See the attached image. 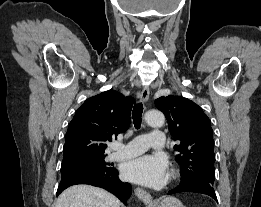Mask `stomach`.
Here are the masks:
<instances>
[{
  "label": "stomach",
  "mask_w": 261,
  "mask_h": 207,
  "mask_svg": "<svg viewBox=\"0 0 261 207\" xmlns=\"http://www.w3.org/2000/svg\"><path fill=\"white\" fill-rule=\"evenodd\" d=\"M149 207H184V206L179 199L169 196L160 200H156Z\"/></svg>",
  "instance_id": "1"
}]
</instances>
